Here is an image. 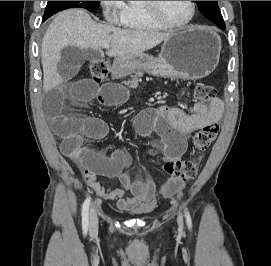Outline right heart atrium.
Masks as SVG:
<instances>
[{
    "mask_svg": "<svg viewBox=\"0 0 271 266\" xmlns=\"http://www.w3.org/2000/svg\"><path fill=\"white\" fill-rule=\"evenodd\" d=\"M100 5L108 22L118 24L122 21L126 6L124 1H100Z\"/></svg>",
    "mask_w": 271,
    "mask_h": 266,
    "instance_id": "obj_1",
    "label": "right heart atrium"
}]
</instances>
